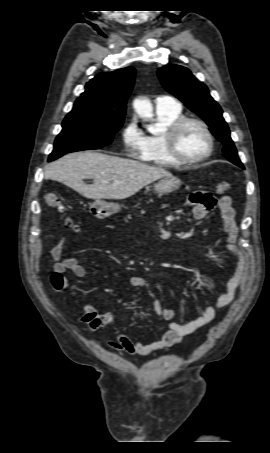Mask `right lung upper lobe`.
Segmentation results:
<instances>
[{"instance_id": "right-lung-upper-lobe-1", "label": "right lung upper lobe", "mask_w": 270, "mask_h": 453, "mask_svg": "<svg viewBox=\"0 0 270 453\" xmlns=\"http://www.w3.org/2000/svg\"><path fill=\"white\" fill-rule=\"evenodd\" d=\"M134 77L135 69L132 67L96 75L86 84L85 91L75 101L73 109L66 117L95 115L123 122Z\"/></svg>"}]
</instances>
